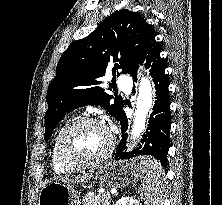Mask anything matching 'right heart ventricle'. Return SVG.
I'll return each mask as SVG.
<instances>
[{
    "instance_id": "e07e8e85",
    "label": "right heart ventricle",
    "mask_w": 222,
    "mask_h": 205,
    "mask_svg": "<svg viewBox=\"0 0 222 205\" xmlns=\"http://www.w3.org/2000/svg\"><path fill=\"white\" fill-rule=\"evenodd\" d=\"M69 123H66L57 133L53 144H52V149H51V163H52V167L53 170L55 171V173L57 174H65V173H70L76 170V168H72V167H68L66 165H64L58 155V140L59 137L61 135V133L63 132V130L67 127Z\"/></svg>"
}]
</instances>
